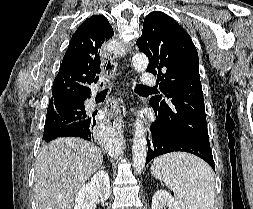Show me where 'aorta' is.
I'll return each mask as SVG.
<instances>
[{
	"label": "aorta",
	"instance_id": "1",
	"mask_svg": "<svg viewBox=\"0 0 253 209\" xmlns=\"http://www.w3.org/2000/svg\"><path fill=\"white\" fill-rule=\"evenodd\" d=\"M132 65L137 72H143L148 66V58L144 54H136L132 59ZM147 144L145 129L141 120L137 119L132 146V160L136 173H141L146 162Z\"/></svg>",
	"mask_w": 253,
	"mask_h": 209
}]
</instances>
